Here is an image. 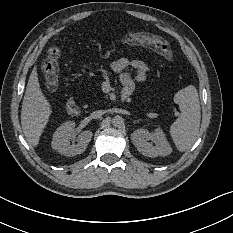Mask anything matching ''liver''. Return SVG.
<instances>
[{"label": "liver", "instance_id": "1", "mask_svg": "<svg viewBox=\"0 0 233 233\" xmlns=\"http://www.w3.org/2000/svg\"><path fill=\"white\" fill-rule=\"evenodd\" d=\"M50 115V107L41 92L36 68L28 79L21 107L23 132L32 145L38 143L39 136Z\"/></svg>", "mask_w": 233, "mask_h": 233}]
</instances>
